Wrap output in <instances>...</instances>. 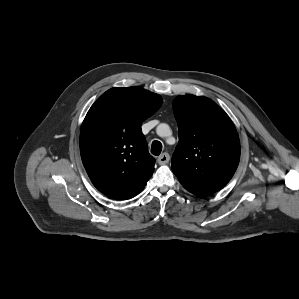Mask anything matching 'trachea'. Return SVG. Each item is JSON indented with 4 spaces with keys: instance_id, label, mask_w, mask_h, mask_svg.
<instances>
[{
    "instance_id": "obj_1",
    "label": "trachea",
    "mask_w": 299,
    "mask_h": 299,
    "mask_svg": "<svg viewBox=\"0 0 299 299\" xmlns=\"http://www.w3.org/2000/svg\"><path fill=\"white\" fill-rule=\"evenodd\" d=\"M162 151V144L161 142L155 140L152 142V146H151V153L155 156L160 155Z\"/></svg>"
}]
</instances>
